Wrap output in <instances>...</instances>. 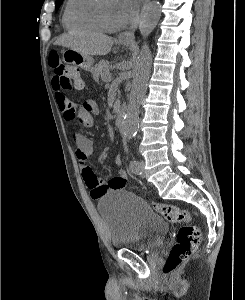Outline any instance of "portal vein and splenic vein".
<instances>
[{
    "label": "portal vein and splenic vein",
    "mask_w": 245,
    "mask_h": 300,
    "mask_svg": "<svg viewBox=\"0 0 245 300\" xmlns=\"http://www.w3.org/2000/svg\"><path fill=\"white\" fill-rule=\"evenodd\" d=\"M109 79H111V74L109 75Z\"/></svg>",
    "instance_id": "18ae733b"
}]
</instances>
